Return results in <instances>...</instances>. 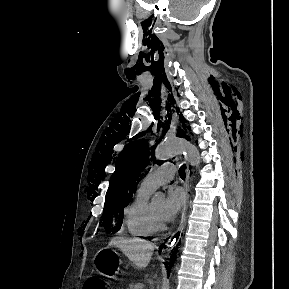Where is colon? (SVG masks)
Listing matches in <instances>:
<instances>
[{"mask_svg": "<svg viewBox=\"0 0 289 289\" xmlns=\"http://www.w3.org/2000/svg\"><path fill=\"white\" fill-rule=\"evenodd\" d=\"M84 289H105V283L100 278H90L86 281Z\"/></svg>", "mask_w": 289, "mask_h": 289, "instance_id": "5ec220e1", "label": "colon"}]
</instances>
